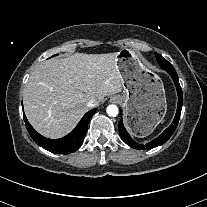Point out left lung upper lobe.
<instances>
[{
    "mask_svg": "<svg viewBox=\"0 0 207 207\" xmlns=\"http://www.w3.org/2000/svg\"><path fill=\"white\" fill-rule=\"evenodd\" d=\"M156 55V58H157V61L158 63L160 64V66L162 68H165V67H172V64H170L166 59H164L161 55H159L158 53L155 54Z\"/></svg>",
    "mask_w": 207,
    "mask_h": 207,
    "instance_id": "obj_1",
    "label": "left lung upper lobe"
}]
</instances>
